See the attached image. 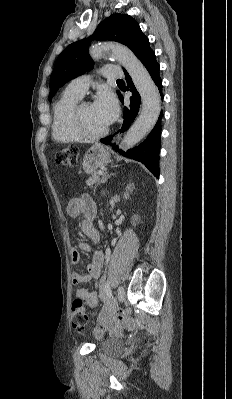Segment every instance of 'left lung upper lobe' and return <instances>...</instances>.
<instances>
[{
	"instance_id": "5c2ea615",
	"label": "left lung upper lobe",
	"mask_w": 232,
	"mask_h": 399,
	"mask_svg": "<svg viewBox=\"0 0 232 399\" xmlns=\"http://www.w3.org/2000/svg\"><path fill=\"white\" fill-rule=\"evenodd\" d=\"M92 39L120 42L128 46L135 55L148 43V38L142 33L139 24L125 14H112L102 21ZM88 44L89 39L77 41L58 56L50 77V102L56 91L65 83L92 69L93 61L88 54Z\"/></svg>"
}]
</instances>
